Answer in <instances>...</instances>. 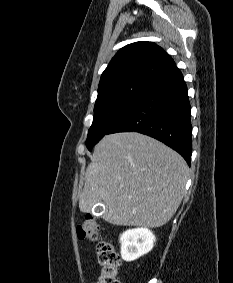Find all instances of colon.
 Returning <instances> with one entry per match:
<instances>
[{"label":"colon","instance_id":"colon-1","mask_svg":"<svg viewBox=\"0 0 233 283\" xmlns=\"http://www.w3.org/2000/svg\"><path fill=\"white\" fill-rule=\"evenodd\" d=\"M100 231L99 222L92 216H86L77 227V233L81 239H90L92 241L99 240ZM97 259L100 273L95 283H120L117 274L121 260L110 242L98 241Z\"/></svg>","mask_w":233,"mask_h":283}]
</instances>
